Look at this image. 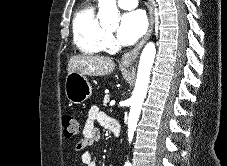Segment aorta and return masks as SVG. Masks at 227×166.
I'll use <instances>...</instances> for the list:
<instances>
[{"mask_svg":"<svg viewBox=\"0 0 227 166\" xmlns=\"http://www.w3.org/2000/svg\"><path fill=\"white\" fill-rule=\"evenodd\" d=\"M99 18L100 23L104 25H117L119 22V13L116 0H99ZM156 54L155 44L147 43L144 47L138 66L137 79L134 92L131 98V109L128 119V137L132 140L137 122L140 116L142 104L144 102L150 79V71ZM125 166H130L126 163Z\"/></svg>","mask_w":227,"mask_h":166,"instance_id":"1","label":"aorta"}]
</instances>
